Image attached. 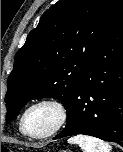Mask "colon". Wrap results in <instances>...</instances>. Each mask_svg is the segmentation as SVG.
<instances>
[{
    "instance_id": "obj_1",
    "label": "colon",
    "mask_w": 123,
    "mask_h": 152,
    "mask_svg": "<svg viewBox=\"0 0 123 152\" xmlns=\"http://www.w3.org/2000/svg\"><path fill=\"white\" fill-rule=\"evenodd\" d=\"M1 152H13V151L10 150V149L7 148V147H2V148H1Z\"/></svg>"
}]
</instances>
